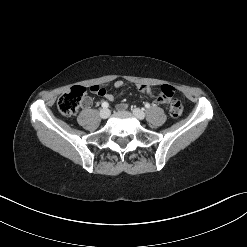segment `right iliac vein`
Returning <instances> with one entry per match:
<instances>
[{"instance_id": "obj_1", "label": "right iliac vein", "mask_w": 247, "mask_h": 247, "mask_svg": "<svg viewBox=\"0 0 247 247\" xmlns=\"http://www.w3.org/2000/svg\"><path fill=\"white\" fill-rule=\"evenodd\" d=\"M110 116V111L106 108L100 110V117L106 119Z\"/></svg>"}]
</instances>
